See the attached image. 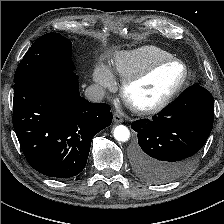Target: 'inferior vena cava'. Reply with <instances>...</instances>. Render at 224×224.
Segmentation results:
<instances>
[{
	"label": "inferior vena cava",
	"mask_w": 224,
	"mask_h": 224,
	"mask_svg": "<svg viewBox=\"0 0 224 224\" xmlns=\"http://www.w3.org/2000/svg\"><path fill=\"white\" fill-rule=\"evenodd\" d=\"M105 95L104 89L99 85L88 86L85 90V96L91 102H100Z\"/></svg>",
	"instance_id": "inferior-vena-cava-1"
}]
</instances>
